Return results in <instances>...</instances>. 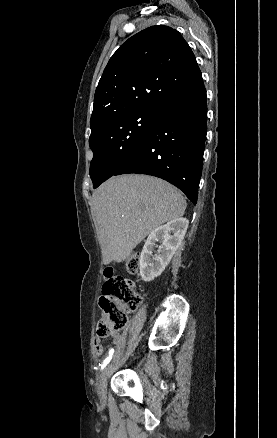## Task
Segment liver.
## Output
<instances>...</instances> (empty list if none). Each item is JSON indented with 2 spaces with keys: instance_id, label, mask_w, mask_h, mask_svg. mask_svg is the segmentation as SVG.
<instances>
[{
  "instance_id": "liver-1",
  "label": "liver",
  "mask_w": 277,
  "mask_h": 438,
  "mask_svg": "<svg viewBox=\"0 0 277 438\" xmlns=\"http://www.w3.org/2000/svg\"><path fill=\"white\" fill-rule=\"evenodd\" d=\"M186 200L177 188L153 176H114L92 194V212L103 264L124 262L158 226L181 218Z\"/></svg>"
}]
</instances>
